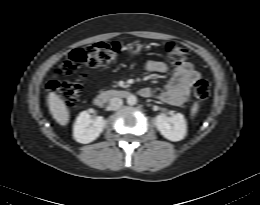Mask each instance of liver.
Wrapping results in <instances>:
<instances>
[{
	"label": "liver",
	"mask_w": 260,
	"mask_h": 205,
	"mask_svg": "<svg viewBox=\"0 0 260 205\" xmlns=\"http://www.w3.org/2000/svg\"><path fill=\"white\" fill-rule=\"evenodd\" d=\"M47 101L50 113L55 121L62 126L67 125L69 122V111L65 102L54 92L49 93Z\"/></svg>",
	"instance_id": "1"
}]
</instances>
